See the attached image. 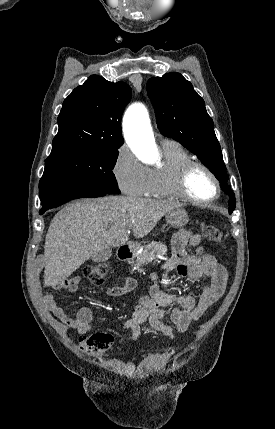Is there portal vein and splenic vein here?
I'll return each mask as SVG.
<instances>
[{
  "label": "portal vein and splenic vein",
  "mask_w": 275,
  "mask_h": 429,
  "mask_svg": "<svg viewBox=\"0 0 275 429\" xmlns=\"http://www.w3.org/2000/svg\"><path fill=\"white\" fill-rule=\"evenodd\" d=\"M130 229H131V227H128V228H127V230H130Z\"/></svg>",
  "instance_id": "1"
}]
</instances>
